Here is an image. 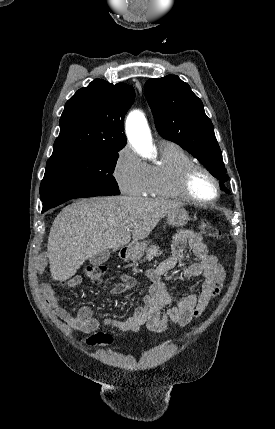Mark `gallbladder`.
Wrapping results in <instances>:
<instances>
[{
	"label": "gallbladder",
	"mask_w": 275,
	"mask_h": 429,
	"mask_svg": "<svg viewBox=\"0 0 275 429\" xmlns=\"http://www.w3.org/2000/svg\"><path fill=\"white\" fill-rule=\"evenodd\" d=\"M110 257L109 250L99 251L94 256L89 258L91 265L98 266L105 263Z\"/></svg>",
	"instance_id": "gallbladder-1"
}]
</instances>
